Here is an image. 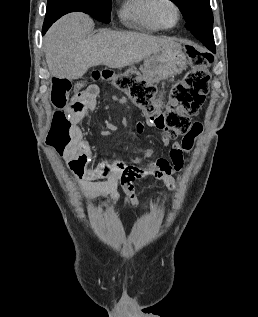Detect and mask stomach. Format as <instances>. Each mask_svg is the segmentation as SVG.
<instances>
[{
	"label": "stomach",
	"mask_w": 258,
	"mask_h": 317,
	"mask_svg": "<svg viewBox=\"0 0 258 317\" xmlns=\"http://www.w3.org/2000/svg\"><path fill=\"white\" fill-rule=\"evenodd\" d=\"M186 64L187 56L182 44H180V46H175L170 50H161V52L146 56L143 72L158 74V76H172V74H178L183 68H186Z\"/></svg>",
	"instance_id": "stomach-1"
}]
</instances>
